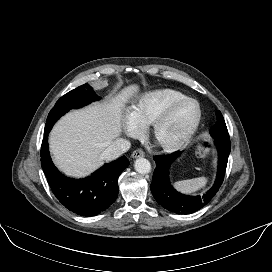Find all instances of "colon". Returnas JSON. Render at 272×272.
Returning <instances> with one entry per match:
<instances>
[{"instance_id": "obj_1", "label": "colon", "mask_w": 272, "mask_h": 272, "mask_svg": "<svg viewBox=\"0 0 272 272\" xmlns=\"http://www.w3.org/2000/svg\"><path fill=\"white\" fill-rule=\"evenodd\" d=\"M211 152L210 145L206 142L198 146L197 153L200 157H207Z\"/></svg>"}]
</instances>
